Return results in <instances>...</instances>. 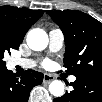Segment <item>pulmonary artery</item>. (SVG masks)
<instances>
[{
    "label": "pulmonary artery",
    "mask_w": 102,
    "mask_h": 102,
    "mask_svg": "<svg viewBox=\"0 0 102 102\" xmlns=\"http://www.w3.org/2000/svg\"><path fill=\"white\" fill-rule=\"evenodd\" d=\"M64 45V35L60 29L53 28L49 32V47L52 51H59ZM18 63L26 65V62L22 60H17ZM71 81H74L75 78L71 77Z\"/></svg>",
    "instance_id": "1"
}]
</instances>
